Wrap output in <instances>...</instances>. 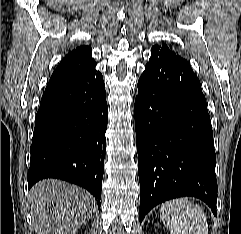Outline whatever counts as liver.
Returning <instances> with one entry per match:
<instances>
[{
	"label": "liver",
	"mask_w": 241,
	"mask_h": 234,
	"mask_svg": "<svg viewBox=\"0 0 241 234\" xmlns=\"http://www.w3.org/2000/svg\"><path fill=\"white\" fill-rule=\"evenodd\" d=\"M28 202L37 234H75L96 208L89 192L57 179L36 183L28 194Z\"/></svg>",
	"instance_id": "liver-1"
}]
</instances>
